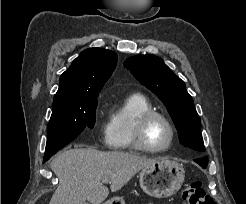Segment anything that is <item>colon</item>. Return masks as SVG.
Instances as JSON below:
<instances>
[{
    "label": "colon",
    "instance_id": "obj_1",
    "mask_svg": "<svg viewBox=\"0 0 246 204\" xmlns=\"http://www.w3.org/2000/svg\"><path fill=\"white\" fill-rule=\"evenodd\" d=\"M182 198L187 204H216L206 193L201 181H193L182 192Z\"/></svg>",
    "mask_w": 246,
    "mask_h": 204
}]
</instances>
